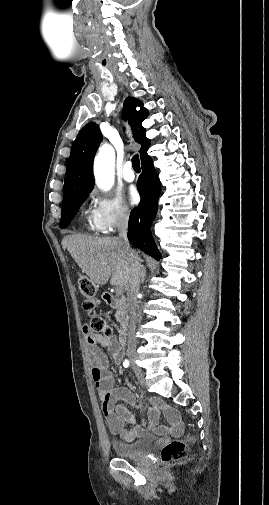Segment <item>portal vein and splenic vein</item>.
<instances>
[{
    "label": "portal vein and splenic vein",
    "instance_id": "portal-vein-and-splenic-vein-1",
    "mask_svg": "<svg viewBox=\"0 0 269 505\" xmlns=\"http://www.w3.org/2000/svg\"><path fill=\"white\" fill-rule=\"evenodd\" d=\"M122 290H123V289H122V286H117V287L115 288V291H116V293H118V294H121V293H122Z\"/></svg>",
    "mask_w": 269,
    "mask_h": 505
}]
</instances>
